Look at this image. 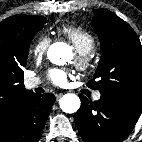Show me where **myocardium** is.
I'll return each mask as SVG.
<instances>
[{"label":"myocardium","instance_id":"1","mask_svg":"<svg viewBox=\"0 0 142 142\" xmlns=\"http://www.w3.org/2000/svg\"><path fill=\"white\" fill-rule=\"evenodd\" d=\"M76 64L80 70L87 71L94 66V58L89 53H79L76 59Z\"/></svg>","mask_w":142,"mask_h":142}]
</instances>
